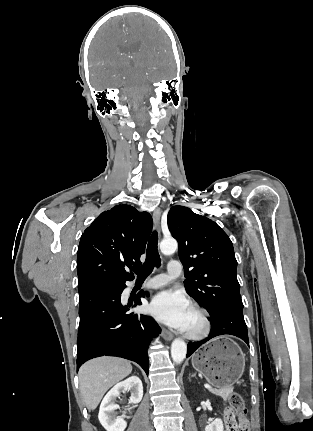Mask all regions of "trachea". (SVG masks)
Here are the masks:
<instances>
[{
  "label": "trachea",
  "mask_w": 313,
  "mask_h": 431,
  "mask_svg": "<svg viewBox=\"0 0 313 431\" xmlns=\"http://www.w3.org/2000/svg\"><path fill=\"white\" fill-rule=\"evenodd\" d=\"M161 264L158 253V234L154 231L148 241L147 255L145 263L139 267H134L133 271L137 274L138 279L145 280L153 271V268L159 267Z\"/></svg>",
  "instance_id": "3493384b"
}]
</instances>
